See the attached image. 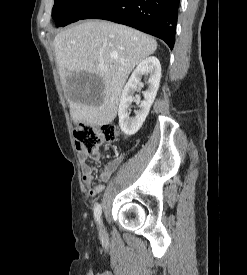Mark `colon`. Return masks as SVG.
Masks as SVG:
<instances>
[{
    "instance_id": "colon-1",
    "label": "colon",
    "mask_w": 247,
    "mask_h": 275,
    "mask_svg": "<svg viewBox=\"0 0 247 275\" xmlns=\"http://www.w3.org/2000/svg\"><path fill=\"white\" fill-rule=\"evenodd\" d=\"M78 149L88 153L92 159L99 157L98 149L103 142H115L119 137L118 128L113 124L102 126L82 125L74 132Z\"/></svg>"
}]
</instances>
